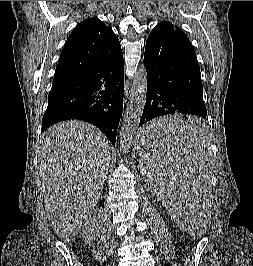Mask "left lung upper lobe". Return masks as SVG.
Wrapping results in <instances>:
<instances>
[{
  "instance_id": "1",
  "label": "left lung upper lobe",
  "mask_w": 253,
  "mask_h": 266,
  "mask_svg": "<svg viewBox=\"0 0 253 266\" xmlns=\"http://www.w3.org/2000/svg\"><path fill=\"white\" fill-rule=\"evenodd\" d=\"M160 24H167V25H171L174 29H178V30H180L177 26H174L172 23H170V22H161V23H159L158 25H160Z\"/></svg>"
}]
</instances>
